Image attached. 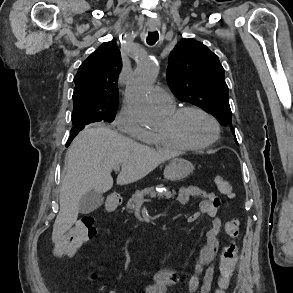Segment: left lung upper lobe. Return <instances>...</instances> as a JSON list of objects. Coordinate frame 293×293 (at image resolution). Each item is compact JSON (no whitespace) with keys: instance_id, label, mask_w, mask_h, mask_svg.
I'll return each mask as SVG.
<instances>
[{"instance_id":"1","label":"left lung upper lobe","mask_w":293,"mask_h":293,"mask_svg":"<svg viewBox=\"0 0 293 293\" xmlns=\"http://www.w3.org/2000/svg\"><path fill=\"white\" fill-rule=\"evenodd\" d=\"M167 81L181 100L211 113L224 126H231L228 86L219 58L194 39H182L170 53Z\"/></svg>"}]
</instances>
